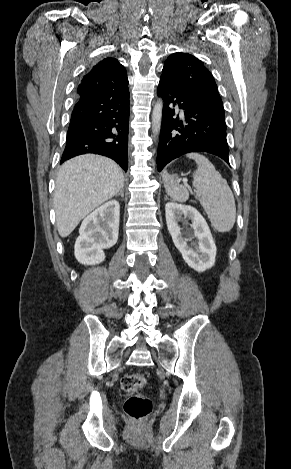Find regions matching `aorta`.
Here are the masks:
<instances>
[{"mask_svg":"<svg viewBox=\"0 0 291 469\" xmlns=\"http://www.w3.org/2000/svg\"><path fill=\"white\" fill-rule=\"evenodd\" d=\"M162 110H163V101L159 99L152 112V132L154 136H157L161 130L162 124Z\"/></svg>","mask_w":291,"mask_h":469,"instance_id":"762f6f07","label":"aorta"}]
</instances>
